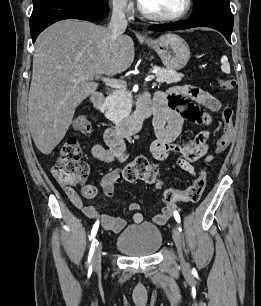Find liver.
<instances>
[{"label":"liver","mask_w":261,"mask_h":306,"mask_svg":"<svg viewBox=\"0 0 261 306\" xmlns=\"http://www.w3.org/2000/svg\"><path fill=\"white\" fill-rule=\"evenodd\" d=\"M131 37L112 38L109 28L66 19L45 29L37 38L28 98V120L38 150L48 155L64 138L76 108L94 93L92 79L114 76L134 61Z\"/></svg>","instance_id":"6515ba94"}]
</instances>
